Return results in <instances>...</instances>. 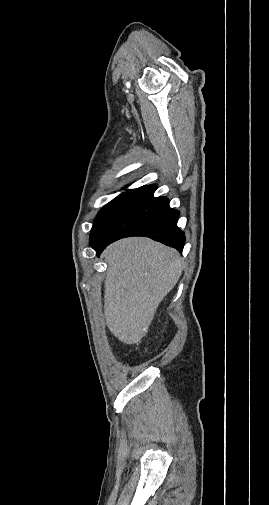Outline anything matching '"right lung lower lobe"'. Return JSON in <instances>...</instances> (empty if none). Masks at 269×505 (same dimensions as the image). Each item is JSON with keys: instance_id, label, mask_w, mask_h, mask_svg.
<instances>
[{"instance_id": "1", "label": "right lung lower lobe", "mask_w": 269, "mask_h": 505, "mask_svg": "<svg viewBox=\"0 0 269 505\" xmlns=\"http://www.w3.org/2000/svg\"><path fill=\"white\" fill-rule=\"evenodd\" d=\"M156 185L138 191L108 225L93 245L97 256L110 243L130 236H146L182 252L185 235L177 227L179 211L165 197H154Z\"/></svg>"}]
</instances>
